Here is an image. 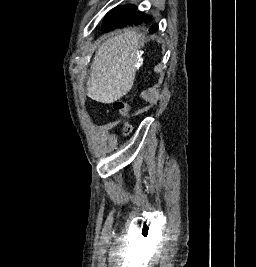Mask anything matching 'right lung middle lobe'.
<instances>
[{
    "instance_id": "right-lung-middle-lobe-1",
    "label": "right lung middle lobe",
    "mask_w": 256,
    "mask_h": 267,
    "mask_svg": "<svg viewBox=\"0 0 256 267\" xmlns=\"http://www.w3.org/2000/svg\"><path fill=\"white\" fill-rule=\"evenodd\" d=\"M135 6L126 5V6H118L112 9L105 16L102 23L103 32H109L112 29L116 28V26L123 21L125 18H128L134 11Z\"/></svg>"
}]
</instances>
